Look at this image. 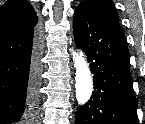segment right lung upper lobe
I'll use <instances>...</instances> for the list:
<instances>
[{"instance_id":"obj_1","label":"right lung upper lobe","mask_w":145,"mask_h":124,"mask_svg":"<svg viewBox=\"0 0 145 124\" xmlns=\"http://www.w3.org/2000/svg\"><path fill=\"white\" fill-rule=\"evenodd\" d=\"M37 15L27 1L9 0L0 8V34L19 33L35 27Z\"/></svg>"}]
</instances>
